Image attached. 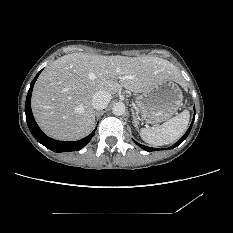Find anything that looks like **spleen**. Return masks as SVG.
<instances>
[{"label":"spleen","instance_id":"spleen-1","mask_svg":"<svg viewBox=\"0 0 233 233\" xmlns=\"http://www.w3.org/2000/svg\"><path fill=\"white\" fill-rule=\"evenodd\" d=\"M189 118V111L184 110L160 126L141 129L140 136L145 142L153 146L171 144L185 133Z\"/></svg>","mask_w":233,"mask_h":233}]
</instances>
